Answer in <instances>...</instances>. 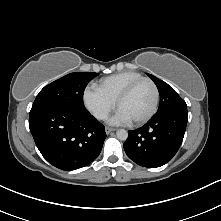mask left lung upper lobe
I'll return each instance as SVG.
<instances>
[{
    "label": "left lung upper lobe",
    "instance_id": "5c2ea615",
    "mask_svg": "<svg viewBox=\"0 0 221 221\" xmlns=\"http://www.w3.org/2000/svg\"><path fill=\"white\" fill-rule=\"evenodd\" d=\"M148 76L154 81L160 94L159 109L153 117L176 109H187L185 101L167 83L151 74Z\"/></svg>",
    "mask_w": 221,
    "mask_h": 221
}]
</instances>
